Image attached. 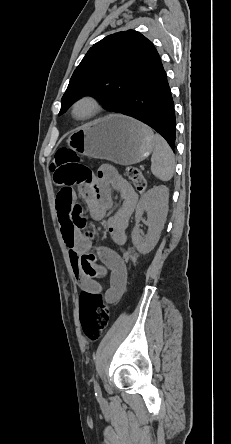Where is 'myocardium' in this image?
<instances>
[{
    "label": "myocardium",
    "instance_id": "1",
    "mask_svg": "<svg viewBox=\"0 0 231 444\" xmlns=\"http://www.w3.org/2000/svg\"><path fill=\"white\" fill-rule=\"evenodd\" d=\"M81 103H88L91 107L90 112L84 116H78L76 114V109ZM101 110H102L101 103L96 97H94L92 95H83V96L79 97L78 99H76L74 101V103L72 104L71 115L75 120L87 121V120L93 119L96 116H98L100 114Z\"/></svg>",
    "mask_w": 231,
    "mask_h": 444
}]
</instances>
